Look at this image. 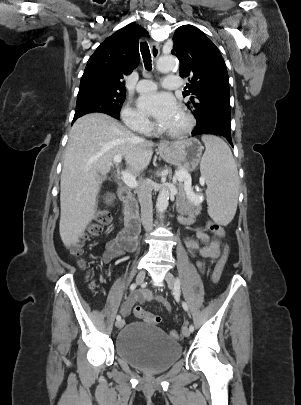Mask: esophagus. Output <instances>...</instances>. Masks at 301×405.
<instances>
[{"instance_id": "esophagus-1", "label": "esophagus", "mask_w": 301, "mask_h": 405, "mask_svg": "<svg viewBox=\"0 0 301 405\" xmlns=\"http://www.w3.org/2000/svg\"><path fill=\"white\" fill-rule=\"evenodd\" d=\"M150 50L154 60H157L160 54V46L156 42H150ZM168 145V142L162 140L159 144L160 147H165Z\"/></svg>"}]
</instances>
